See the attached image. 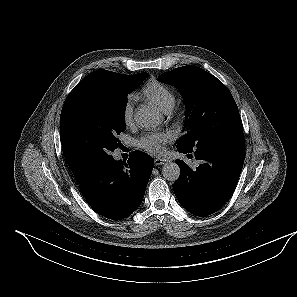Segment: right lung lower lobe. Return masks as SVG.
Returning <instances> with one entry per match:
<instances>
[{
    "instance_id": "right-lung-lower-lobe-1",
    "label": "right lung lower lobe",
    "mask_w": 297,
    "mask_h": 297,
    "mask_svg": "<svg viewBox=\"0 0 297 297\" xmlns=\"http://www.w3.org/2000/svg\"><path fill=\"white\" fill-rule=\"evenodd\" d=\"M153 167L151 156L134 151L127 161L111 157L90 168L78 183L96 212L108 219L121 220L140 206Z\"/></svg>"
}]
</instances>
